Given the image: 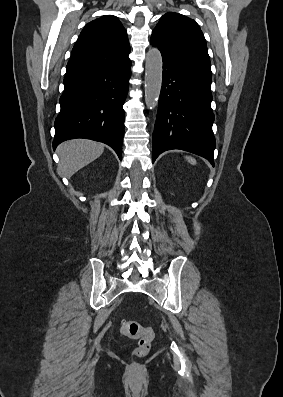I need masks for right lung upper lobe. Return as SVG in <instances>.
<instances>
[{
	"mask_svg": "<svg viewBox=\"0 0 283 397\" xmlns=\"http://www.w3.org/2000/svg\"><path fill=\"white\" fill-rule=\"evenodd\" d=\"M127 32L117 17L105 15L85 25L66 67V77L130 61Z\"/></svg>",
	"mask_w": 283,
	"mask_h": 397,
	"instance_id": "obj_1",
	"label": "right lung upper lobe"
}]
</instances>
